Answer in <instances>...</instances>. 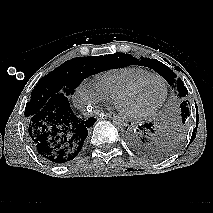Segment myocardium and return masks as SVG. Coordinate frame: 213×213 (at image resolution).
Segmentation results:
<instances>
[{
  "label": "myocardium",
  "instance_id": "myocardium-1",
  "mask_svg": "<svg viewBox=\"0 0 213 213\" xmlns=\"http://www.w3.org/2000/svg\"><path fill=\"white\" fill-rule=\"evenodd\" d=\"M149 78H156L161 81V83L163 85V96H162L161 100L156 105H154L144 111H141V112H129V111L125 110L121 105V101L126 96H128L133 91H135L144 81H146ZM166 97H167V83H166L165 79L162 76H160L159 74L151 72L149 74H146L144 76L137 78L136 80L131 82L129 85H127L124 89H122L115 96L114 103H115V106L117 107V109L125 116L132 118V119H142V118L149 117V116L153 115L154 113H156L164 104Z\"/></svg>",
  "mask_w": 213,
  "mask_h": 213
}]
</instances>
